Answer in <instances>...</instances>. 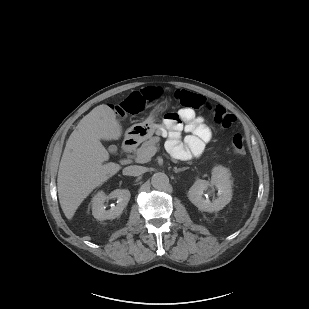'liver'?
I'll list each match as a JSON object with an SVG mask.
<instances>
[{
	"instance_id": "liver-1",
	"label": "liver",
	"mask_w": 309,
	"mask_h": 309,
	"mask_svg": "<svg viewBox=\"0 0 309 309\" xmlns=\"http://www.w3.org/2000/svg\"><path fill=\"white\" fill-rule=\"evenodd\" d=\"M122 126L107 105H99L71 133L59 165L57 189L61 208L71 220L84 199L115 175L119 164L109 162V153L101 140H118Z\"/></svg>"
}]
</instances>
